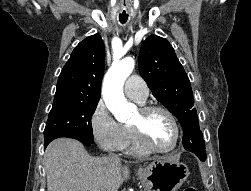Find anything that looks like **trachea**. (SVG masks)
Returning <instances> with one entry per match:
<instances>
[{"mask_svg":"<svg viewBox=\"0 0 251 191\" xmlns=\"http://www.w3.org/2000/svg\"><path fill=\"white\" fill-rule=\"evenodd\" d=\"M128 19V15H119V20L121 23H125Z\"/></svg>","mask_w":251,"mask_h":191,"instance_id":"1","label":"trachea"}]
</instances>
